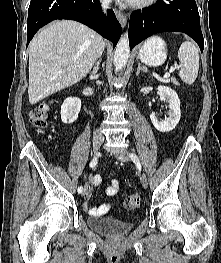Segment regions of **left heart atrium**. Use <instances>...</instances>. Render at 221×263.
<instances>
[{
    "mask_svg": "<svg viewBox=\"0 0 221 263\" xmlns=\"http://www.w3.org/2000/svg\"><path fill=\"white\" fill-rule=\"evenodd\" d=\"M122 1H127V2H134V0H122Z\"/></svg>",
    "mask_w": 221,
    "mask_h": 263,
    "instance_id": "39dd6f15",
    "label": "left heart atrium"
}]
</instances>
